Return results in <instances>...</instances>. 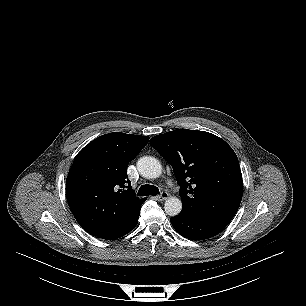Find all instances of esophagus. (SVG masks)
<instances>
[{
  "instance_id": "esophagus-1",
  "label": "esophagus",
  "mask_w": 306,
  "mask_h": 306,
  "mask_svg": "<svg viewBox=\"0 0 306 306\" xmlns=\"http://www.w3.org/2000/svg\"><path fill=\"white\" fill-rule=\"evenodd\" d=\"M169 197V194L166 191H162L159 196H156V200L165 201Z\"/></svg>"
}]
</instances>
